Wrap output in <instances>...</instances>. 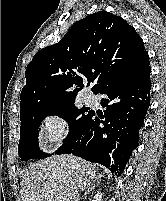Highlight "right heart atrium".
<instances>
[{"mask_svg": "<svg viewBox=\"0 0 166 201\" xmlns=\"http://www.w3.org/2000/svg\"><path fill=\"white\" fill-rule=\"evenodd\" d=\"M67 131V123L63 117L51 114L44 118L40 126V141L45 147H55L59 145Z\"/></svg>", "mask_w": 166, "mask_h": 201, "instance_id": "obj_1", "label": "right heart atrium"}]
</instances>
